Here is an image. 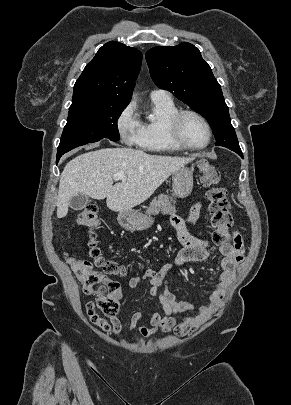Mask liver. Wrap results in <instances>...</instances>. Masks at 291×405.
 I'll return each instance as SVG.
<instances>
[{"instance_id": "6515ba94", "label": "liver", "mask_w": 291, "mask_h": 405, "mask_svg": "<svg viewBox=\"0 0 291 405\" xmlns=\"http://www.w3.org/2000/svg\"><path fill=\"white\" fill-rule=\"evenodd\" d=\"M192 160L150 155L131 148H103L81 154L68 162L61 174L57 217L67 215L70 200L78 194L106 198L107 207L113 211L130 210ZM119 172L125 174V179L113 186L112 176Z\"/></svg>"}]
</instances>
